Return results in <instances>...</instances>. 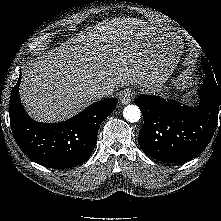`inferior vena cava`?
<instances>
[{
	"label": "inferior vena cava",
	"mask_w": 221,
	"mask_h": 221,
	"mask_svg": "<svg viewBox=\"0 0 221 221\" xmlns=\"http://www.w3.org/2000/svg\"><path fill=\"white\" fill-rule=\"evenodd\" d=\"M109 95H110V92L103 88H99L91 92V97H93L94 99H98V100L104 97H108Z\"/></svg>",
	"instance_id": "inferior-vena-cava-1"
}]
</instances>
